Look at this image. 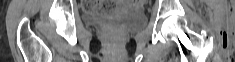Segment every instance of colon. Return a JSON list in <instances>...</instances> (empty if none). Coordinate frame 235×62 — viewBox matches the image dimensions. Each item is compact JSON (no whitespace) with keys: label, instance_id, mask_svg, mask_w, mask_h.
Returning a JSON list of instances; mask_svg holds the SVG:
<instances>
[{"label":"colon","instance_id":"colon-1","mask_svg":"<svg viewBox=\"0 0 235 62\" xmlns=\"http://www.w3.org/2000/svg\"><path fill=\"white\" fill-rule=\"evenodd\" d=\"M106 5H109L108 3H105ZM90 8L91 9H94L91 5H90ZM108 7H105V6H103V7H98L97 9H94V10H99V11H104V10H106Z\"/></svg>","mask_w":235,"mask_h":62}]
</instances>
